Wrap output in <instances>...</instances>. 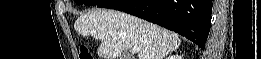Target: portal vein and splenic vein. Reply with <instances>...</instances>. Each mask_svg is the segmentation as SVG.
I'll return each mask as SVG.
<instances>
[{
  "instance_id": "18ae733b",
  "label": "portal vein and splenic vein",
  "mask_w": 261,
  "mask_h": 59,
  "mask_svg": "<svg viewBox=\"0 0 261 59\" xmlns=\"http://www.w3.org/2000/svg\"><path fill=\"white\" fill-rule=\"evenodd\" d=\"M138 51H139L138 48H136V47H133V48H132V53H137Z\"/></svg>"
}]
</instances>
